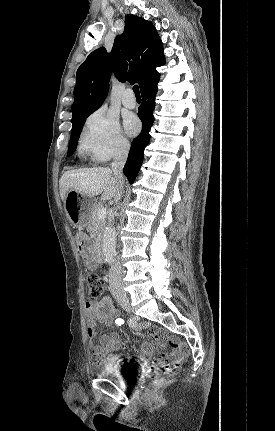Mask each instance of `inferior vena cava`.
<instances>
[{
	"label": "inferior vena cava",
	"mask_w": 275,
	"mask_h": 431,
	"mask_svg": "<svg viewBox=\"0 0 275 431\" xmlns=\"http://www.w3.org/2000/svg\"><path fill=\"white\" fill-rule=\"evenodd\" d=\"M130 146L127 143L121 144L117 151L114 153L113 162L111 164V171L113 172L115 178L120 182L121 187L114 197L115 202L117 203L121 199L122 190L124 186V177H123V167L126 163L127 156L129 153ZM110 288L112 291L114 290H122V267L119 261H116L111 266L110 273Z\"/></svg>",
	"instance_id": "inferior-vena-cava-1"
}]
</instances>
